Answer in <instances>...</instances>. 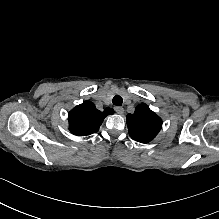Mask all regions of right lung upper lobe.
<instances>
[{"mask_svg": "<svg viewBox=\"0 0 219 219\" xmlns=\"http://www.w3.org/2000/svg\"><path fill=\"white\" fill-rule=\"evenodd\" d=\"M113 113L111 108L101 112L92 102L84 101L69 112V130L79 136L93 134L99 130L104 118Z\"/></svg>", "mask_w": 219, "mask_h": 219, "instance_id": "obj_1", "label": "right lung upper lobe"}]
</instances>
